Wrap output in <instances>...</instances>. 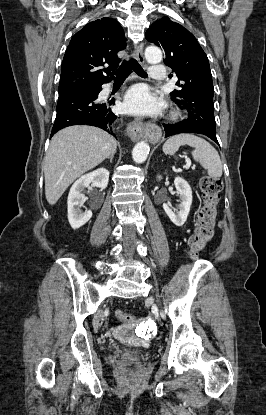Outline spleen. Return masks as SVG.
Segmentation results:
<instances>
[{"label": "spleen", "mask_w": 266, "mask_h": 415, "mask_svg": "<svg viewBox=\"0 0 266 415\" xmlns=\"http://www.w3.org/2000/svg\"><path fill=\"white\" fill-rule=\"evenodd\" d=\"M189 145L194 148L192 156L202 167L207 169L208 175L213 178L222 176V163L216 149L206 140L192 134H179L169 138L163 145V152L175 155L180 146Z\"/></svg>", "instance_id": "spleen-1"}]
</instances>
